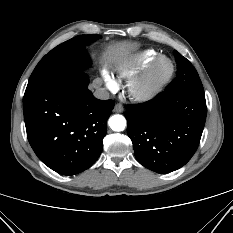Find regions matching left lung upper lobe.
Listing matches in <instances>:
<instances>
[{
  "label": "left lung upper lobe",
  "instance_id": "obj_1",
  "mask_svg": "<svg viewBox=\"0 0 233 233\" xmlns=\"http://www.w3.org/2000/svg\"><path fill=\"white\" fill-rule=\"evenodd\" d=\"M174 56L178 65L177 76L165 91L204 94L201 80L192 64L177 51H174Z\"/></svg>",
  "mask_w": 233,
  "mask_h": 233
}]
</instances>
